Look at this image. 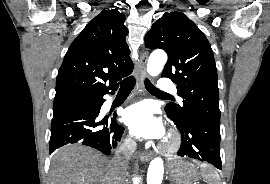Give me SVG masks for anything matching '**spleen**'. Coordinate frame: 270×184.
I'll list each match as a JSON object with an SVG mask.
<instances>
[{"label":"spleen","instance_id":"spleen-1","mask_svg":"<svg viewBox=\"0 0 270 184\" xmlns=\"http://www.w3.org/2000/svg\"><path fill=\"white\" fill-rule=\"evenodd\" d=\"M201 174L208 181V184H220L219 175L213 171L209 165L201 164L200 166Z\"/></svg>","mask_w":270,"mask_h":184}]
</instances>
